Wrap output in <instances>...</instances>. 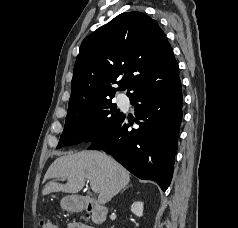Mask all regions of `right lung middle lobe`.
Returning <instances> with one entry per match:
<instances>
[{
	"label": "right lung middle lobe",
	"instance_id": "obj_1",
	"mask_svg": "<svg viewBox=\"0 0 238 228\" xmlns=\"http://www.w3.org/2000/svg\"><path fill=\"white\" fill-rule=\"evenodd\" d=\"M123 116L111 100L68 110L57 148L93 141L114 127Z\"/></svg>",
	"mask_w": 238,
	"mask_h": 228
}]
</instances>
